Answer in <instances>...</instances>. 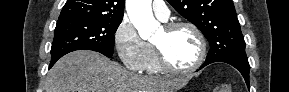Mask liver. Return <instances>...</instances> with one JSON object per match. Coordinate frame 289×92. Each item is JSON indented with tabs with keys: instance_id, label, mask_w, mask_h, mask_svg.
Segmentation results:
<instances>
[{
	"instance_id": "6515ba94",
	"label": "liver",
	"mask_w": 289,
	"mask_h": 92,
	"mask_svg": "<svg viewBox=\"0 0 289 92\" xmlns=\"http://www.w3.org/2000/svg\"><path fill=\"white\" fill-rule=\"evenodd\" d=\"M186 79L142 76L127 71L100 53L79 50L48 72L44 92H176Z\"/></svg>"
}]
</instances>
